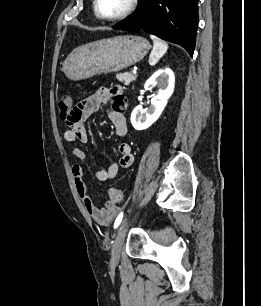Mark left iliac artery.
<instances>
[{
    "label": "left iliac artery",
    "instance_id": "left-iliac-artery-1",
    "mask_svg": "<svg viewBox=\"0 0 261 306\" xmlns=\"http://www.w3.org/2000/svg\"><path fill=\"white\" fill-rule=\"evenodd\" d=\"M122 218H123V212H121V213L117 216V218H116V220H115V222H114V229L118 228V226L120 225V223H121V221H122Z\"/></svg>",
    "mask_w": 261,
    "mask_h": 306
}]
</instances>
